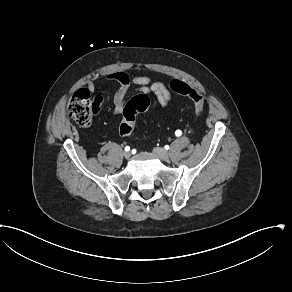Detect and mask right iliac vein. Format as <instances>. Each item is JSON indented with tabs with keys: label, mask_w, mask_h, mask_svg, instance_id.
<instances>
[{
	"label": "right iliac vein",
	"mask_w": 292,
	"mask_h": 292,
	"mask_svg": "<svg viewBox=\"0 0 292 292\" xmlns=\"http://www.w3.org/2000/svg\"><path fill=\"white\" fill-rule=\"evenodd\" d=\"M123 155H124V158H125V159H129L130 156H131V153H130L129 151H125V152L123 153Z\"/></svg>",
	"instance_id": "63e3f726"
}]
</instances>
